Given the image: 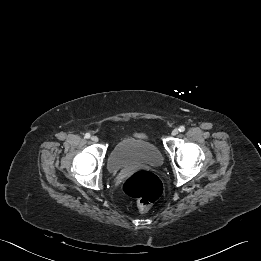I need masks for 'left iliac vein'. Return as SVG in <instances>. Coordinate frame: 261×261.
Masks as SVG:
<instances>
[{
	"instance_id": "4c4485c4",
	"label": "left iliac vein",
	"mask_w": 261,
	"mask_h": 261,
	"mask_svg": "<svg viewBox=\"0 0 261 261\" xmlns=\"http://www.w3.org/2000/svg\"><path fill=\"white\" fill-rule=\"evenodd\" d=\"M179 133V131H178V129H173L172 130V132H171V134L173 135V136H176L177 134Z\"/></svg>"
}]
</instances>
